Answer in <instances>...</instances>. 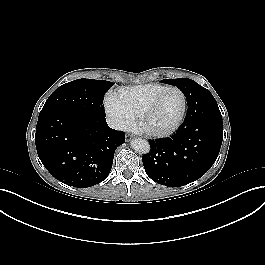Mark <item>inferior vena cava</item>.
<instances>
[{"mask_svg":"<svg viewBox=\"0 0 265 265\" xmlns=\"http://www.w3.org/2000/svg\"><path fill=\"white\" fill-rule=\"evenodd\" d=\"M107 124L109 125V127L115 130H126L127 129L126 122L117 117H108Z\"/></svg>","mask_w":265,"mask_h":265,"instance_id":"inferior-vena-cava-1","label":"inferior vena cava"}]
</instances>
